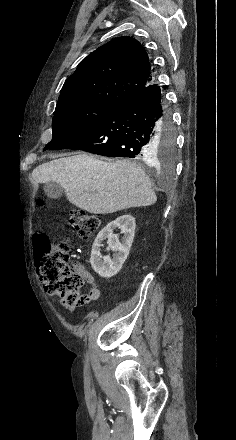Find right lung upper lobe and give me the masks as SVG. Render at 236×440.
Segmentation results:
<instances>
[{
    "mask_svg": "<svg viewBox=\"0 0 236 440\" xmlns=\"http://www.w3.org/2000/svg\"><path fill=\"white\" fill-rule=\"evenodd\" d=\"M151 61L132 37L115 38L78 65L65 81L57 104L95 101L120 105L154 84Z\"/></svg>",
    "mask_w": 236,
    "mask_h": 440,
    "instance_id": "cb5924a9",
    "label": "right lung upper lobe"
}]
</instances>
